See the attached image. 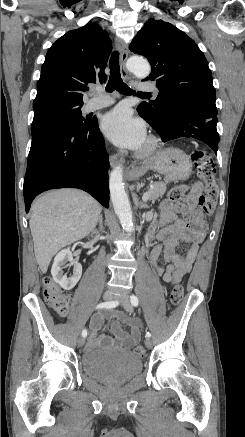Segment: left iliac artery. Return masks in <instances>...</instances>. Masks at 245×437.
<instances>
[{"label":"left iliac artery","mask_w":245,"mask_h":437,"mask_svg":"<svg viewBox=\"0 0 245 437\" xmlns=\"http://www.w3.org/2000/svg\"><path fill=\"white\" fill-rule=\"evenodd\" d=\"M130 301H131V304H132L134 307L138 306V304H139L138 297L135 296V295H131V296H130ZM150 336H151V334H150L149 332H147V333H146V337L149 338Z\"/></svg>","instance_id":"44dca946"}]
</instances>
